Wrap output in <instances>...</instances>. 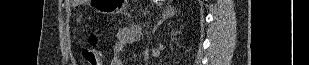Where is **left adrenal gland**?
<instances>
[{
  "label": "left adrenal gland",
  "instance_id": "obj_1",
  "mask_svg": "<svg viewBox=\"0 0 309 65\" xmlns=\"http://www.w3.org/2000/svg\"><path fill=\"white\" fill-rule=\"evenodd\" d=\"M176 13V10L172 7H169L166 9L165 13L163 14V16L161 17V19H159L156 23V25H154L153 28V32H155L157 30V28L162 25V23L164 21H166L168 18L173 17Z\"/></svg>",
  "mask_w": 309,
  "mask_h": 65
}]
</instances>
